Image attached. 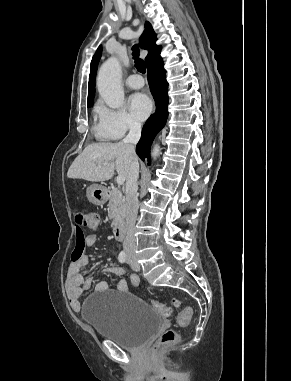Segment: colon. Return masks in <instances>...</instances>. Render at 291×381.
Instances as JSON below:
<instances>
[{
	"label": "colon",
	"instance_id": "1",
	"mask_svg": "<svg viewBox=\"0 0 291 381\" xmlns=\"http://www.w3.org/2000/svg\"><path fill=\"white\" fill-rule=\"evenodd\" d=\"M74 221L77 226V238L80 241L83 240V234L86 230H96L98 227V217L97 215L87 212L84 209H76L74 212ZM76 257L82 254L80 246L77 250L73 252ZM72 254V255H73ZM174 306L181 307L182 302L179 299L174 298L172 300ZM151 306L156 312H158L162 317H168L171 314V309L163 303L156 300H150ZM193 315V310L189 306H184L177 317V324L181 327H186ZM178 335L174 330L165 331L159 341L154 345L153 351L155 353L160 352L162 349L171 346L176 343Z\"/></svg>",
	"mask_w": 291,
	"mask_h": 381
}]
</instances>
